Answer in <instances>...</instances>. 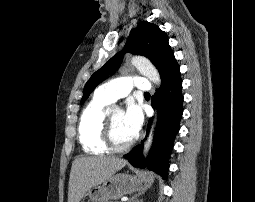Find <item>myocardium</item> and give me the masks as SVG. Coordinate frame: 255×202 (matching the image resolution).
<instances>
[{"label": "myocardium", "mask_w": 255, "mask_h": 202, "mask_svg": "<svg viewBox=\"0 0 255 202\" xmlns=\"http://www.w3.org/2000/svg\"><path fill=\"white\" fill-rule=\"evenodd\" d=\"M137 136L124 144H118L113 136V124L110 114H106L102 128V141L105 146L112 152H123L129 149L136 141Z\"/></svg>", "instance_id": "f54148a6"}]
</instances>
